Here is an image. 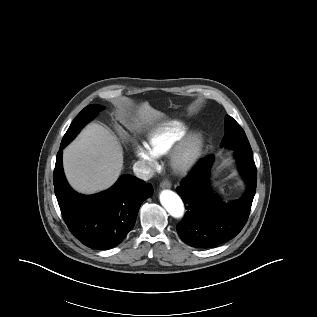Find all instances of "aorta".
Segmentation results:
<instances>
[{"label": "aorta", "mask_w": 317, "mask_h": 317, "mask_svg": "<svg viewBox=\"0 0 317 317\" xmlns=\"http://www.w3.org/2000/svg\"><path fill=\"white\" fill-rule=\"evenodd\" d=\"M160 202L165 210L174 218H182L184 215V204L181 198L171 190H163L160 193Z\"/></svg>", "instance_id": "1"}]
</instances>
